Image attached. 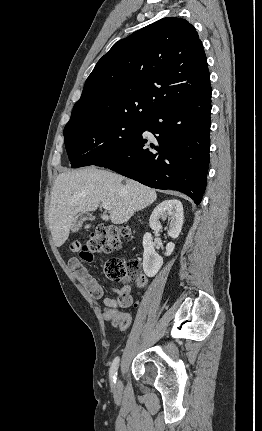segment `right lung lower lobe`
Here are the masks:
<instances>
[{"label": "right lung lower lobe", "instance_id": "obj_1", "mask_svg": "<svg viewBox=\"0 0 262 431\" xmlns=\"http://www.w3.org/2000/svg\"><path fill=\"white\" fill-rule=\"evenodd\" d=\"M211 86L145 118L139 132L95 163L157 189H173L198 205L206 187L210 146ZM149 131L154 137H147Z\"/></svg>", "mask_w": 262, "mask_h": 431}]
</instances>
